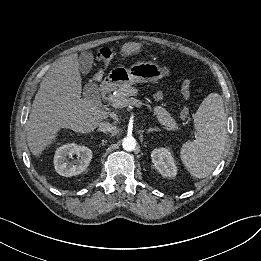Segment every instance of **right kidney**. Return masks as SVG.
Listing matches in <instances>:
<instances>
[{
    "mask_svg": "<svg viewBox=\"0 0 261 261\" xmlns=\"http://www.w3.org/2000/svg\"><path fill=\"white\" fill-rule=\"evenodd\" d=\"M76 155L78 159L68 164V158ZM92 159L91 149L79 146L75 143H68L57 148L54 156V167L58 174L71 177L82 173Z\"/></svg>",
    "mask_w": 261,
    "mask_h": 261,
    "instance_id": "1",
    "label": "right kidney"
}]
</instances>
